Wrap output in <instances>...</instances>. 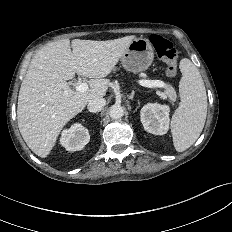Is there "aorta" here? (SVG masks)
<instances>
[{
    "mask_svg": "<svg viewBox=\"0 0 232 232\" xmlns=\"http://www.w3.org/2000/svg\"><path fill=\"white\" fill-rule=\"evenodd\" d=\"M109 115L112 119H120L124 115V109L119 104H114L109 109Z\"/></svg>",
    "mask_w": 232,
    "mask_h": 232,
    "instance_id": "1",
    "label": "aorta"
}]
</instances>
